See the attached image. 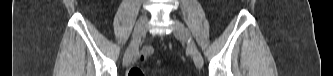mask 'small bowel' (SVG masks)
I'll return each mask as SVG.
<instances>
[{"label": "small bowel", "instance_id": "1", "mask_svg": "<svg viewBox=\"0 0 333 76\" xmlns=\"http://www.w3.org/2000/svg\"><path fill=\"white\" fill-rule=\"evenodd\" d=\"M146 40H147V41H150V40H151V37H150V36H147V37H146ZM152 51H153V50H152V48H151L150 46L146 47L144 54L141 55L139 59H140V60H143V59H144V56H145L146 54L151 53ZM136 69H138V68H136ZM139 70H140V69H139Z\"/></svg>", "mask_w": 333, "mask_h": 76}]
</instances>
